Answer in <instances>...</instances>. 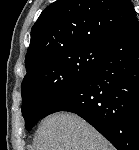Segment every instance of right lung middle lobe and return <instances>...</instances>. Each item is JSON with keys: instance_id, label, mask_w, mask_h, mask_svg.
Listing matches in <instances>:
<instances>
[{"instance_id": "1", "label": "right lung middle lobe", "mask_w": 139, "mask_h": 150, "mask_svg": "<svg viewBox=\"0 0 139 150\" xmlns=\"http://www.w3.org/2000/svg\"><path fill=\"white\" fill-rule=\"evenodd\" d=\"M105 49L91 47L57 54L24 77L21 109L28 131L60 96L91 71Z\"/></svg>"}]
</instances>
